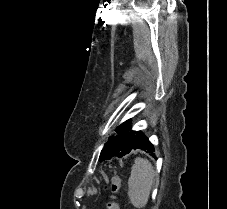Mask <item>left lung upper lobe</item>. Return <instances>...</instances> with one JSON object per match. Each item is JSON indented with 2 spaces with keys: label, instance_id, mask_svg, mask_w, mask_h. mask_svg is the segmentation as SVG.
<instances>
[{
  "label": "left lung upper lobe",
  "instance_id": "left-lung-upper-lobe-1",
  "mask_svg": "<svg viewBox=\"0 0 227 209\" xmlns=\"http://www.w3.org/2000/svg\"><path fill=\"white\" fill-rule=\"evenodd\" d=\"M131 120H127L116 128L118 133L115 137H110L106 143V149L101 153L100 160L111 159L114 156L122 157L131 147L135 138L136 131L131 130Z\"/></svg>",
  "mask_w": 227,
  "mask_h": 209
}]
</instances>
